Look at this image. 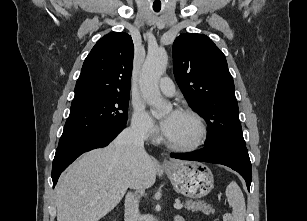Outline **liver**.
Masks as SVG:
<instances>
[{
    "label": "liver",
    "mask_w": 307,
    "mask_h": 221,
    "mask_svg": "<svg viewBox=\"0 0 307 221\" xmlns=\"http://www.w3.org/2000/svg\"><path fill=\"white\" fill-rule=\"evenodd\" d=\"M156 171L157 164L150 156L129 154L115 141L83 154L58 180L57 221H99L128 188L151 187Z\"/></svg>",
    "instance_id": "liver-1"
}]
</instances>
